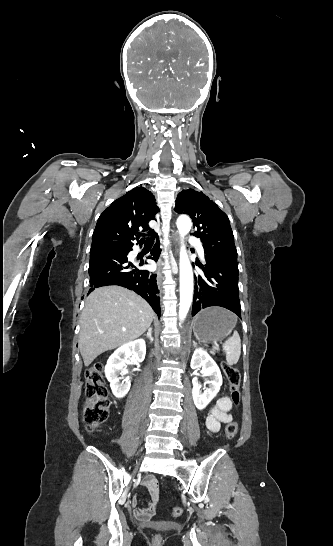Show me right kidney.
I'll return each instance as SVG.
<instances>
[{
    "label": "right kidney",
    "mask_w": 333,
    "mask_h": 546,
    "mask_svg": "<svg viewBox=\"0 0 333 546\" xmlns=\"http://www.w3.org/2000/svg\"><path fill=\"white\" fill-rule=\"evenodd\" d=\"M146 355V344L142 339L128 342L109 357L105 366V376L110 383L112 393L116 398H123L129 391L131 382L124 379L121 383L120 375L128 373L126 362L128 359L142 362Z\"/></svg>",
    "instance_id": "right-kidney-1"
}]
</instances>
